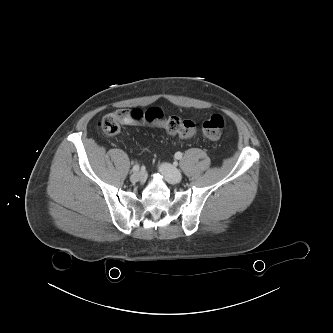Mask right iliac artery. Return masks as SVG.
I'll use <instances>...</instances> for the list:
<instances>
[{
  "label": "right iliac artery",
  "instance_id": "82829eb1",
  "mask_svg": "<svg viewBox=\"0 0 333 333\" xmlns=\"http://www.w3.org/2000/svg\"><path fill=\"white\" fill-rule=\"evenodd\" d=\"M139 169H140V166H139L138 164H135V165L133 166V168H132V171H133V172H138Z\"/></svg>",
  "mask_w": 333,
  "mask_h": 333
}]
</instances>
